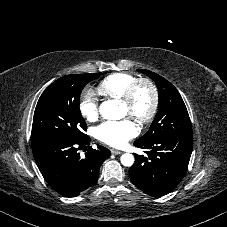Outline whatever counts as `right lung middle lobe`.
I'll return each mask as SVG.
<instances>
[{
    "label": "right lung middle lobe",
    "mask_w": 227,
    "mask_h": 227,
    "mask_svg": "<svg viewBox=\"0 0 227 227\" xmlns=\"http://www.w3.org/2000/svg\"><path fill=\"white\" fill-rule=\"evenodd\" d=\"M102 73L74 74L59 78L40 96L35 108L31 145L51 139L81 140L87 125L79 108L83 88Z\"/></svg>",
    "instance_id": "1"
}]
</instances>
